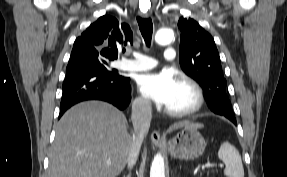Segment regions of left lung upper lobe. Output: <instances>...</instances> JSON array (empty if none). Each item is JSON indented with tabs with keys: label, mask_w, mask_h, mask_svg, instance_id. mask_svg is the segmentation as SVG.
Instances as JSON below:
<instances>
[{
	"label": "left lung upper lobe",
	"mask_w": 287,
	"mask_h": 177,
	"mask_svg": "<svg viewBox=\"0 0 287 177\" xmlns=\"http://www.w3.org/2000/svg\"><path fill=\"white\" fill-rule=\"evenodd\" d=\"M178 27L181 31L179 61L182 70L203 88L209 108L213 100L219 98L223 100L221 104L226 113L234 116L214 39L191 18L181 17Z\"/></svg>",
	"instance_id": "obj_1"
}]
</instances>
